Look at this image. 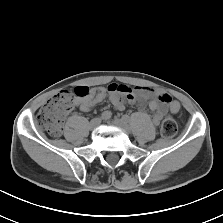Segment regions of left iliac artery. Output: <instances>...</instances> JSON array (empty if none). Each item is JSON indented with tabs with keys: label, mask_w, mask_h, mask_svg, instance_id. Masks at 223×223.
Instances as JSON below:
<instances>
[{
	"label": "left iliac artery",
	"mask_w": 223,
	"mask_h": 223,
	"mask_svg": "<svg viewBox=\"0 0 223 223\" xmlns=\"http://www.w3.org/2000/svg\"><path fill=\"white\" fill-rule=\"evenodd\" d=\"M122 119H124L126 122H129V117L128 116H123Z\"/></svg>",
	"instance_id": "1"
}]
</instances>
